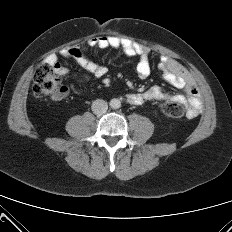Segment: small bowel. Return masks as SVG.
<instances>
[{"label": "small bowel", "mask_w": 232, "mask_h": 232, "mask_svg": "<svg viewBox=\"0 0 232 232\" xmlns=\"http://www.w3.org/2000/svg\"><path fill=\"white\" fill-rule=\"evenodd\" d=\"M88 43L100 49L120 50L129 56L137 57L136 73L142 79L147 78L151 73V52L150 49L144 45L118 36L109 35L91 38ZM61 56L67 59L73 58L86 72L87 76L102 78L108 72L105 66L94 62L82 54L73 55L71 49L62 51ZM48 60L53 64L55 72L59 76L65 79H69L72 76L71 70L60 63L56 55L49 56ZM157 68L162 73L165 81L175 88L183 89L186 96L173 95L164 91L159 86H152L143 92L128 94L126 96L127 102L130 105H140L149 100L175 101L186 104L188 117H197L201 112L202 102L199 89L191 73L180 62L164 54L159 56ZM71 91L77 93L78 89L74 85H63L62 91L58 95L53 96V99L57 101L62 100L67 97Z\"/></svg>", "instance_id": "c3829d8e"}]
</instances>
